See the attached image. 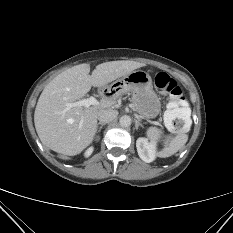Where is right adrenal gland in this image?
Wrapping results in <instances>:
<instances>
[{
    "instance_id": "obj_1",
    "label": "right adrenal gland",
    "mask_w": 233,
    "mask_h": 233,
    "mask_svg": "<svg viewBox=\"0 0 233 233\" xmlns=\"http://www.w3.org/2000/svg\"><path fill=\"white\" fill-rule=\"evenodd\" d=\"M104 125H105V123H98L97 132H100Z\"/></svg>"
}]
</instances>
